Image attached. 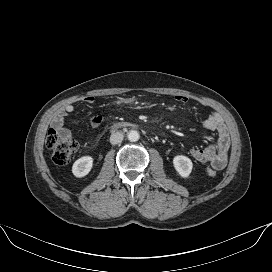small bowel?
<instances>
[{"mask_svg": "<svg viewBox=\"0 0 272 272\" xmlns=\"http://www.w3.org/2000/svg\"><path fill=\"white\" fill-rule=\"evenodd\" d=\"M175 100L179 103H185L188 98L185 95H176ZM87 104L95 102L94 96H87L84 98ZM74 106L72 104L65 105L53 118L52 127L60 134L70 136V131L65 127V119L69 113L73 112ZM93 126H99L102 123L100 116H93L90 119ZM205 129L215 132L217 134V141L215 144L208 145L203 148H194L190 151L192 157L200 162H209L215 170H222L227 164L228 150L230 147V134L222 117L218 113H210L202 122Z\"/></svg>", "mask_w": 272, "mask_h": 272, "instance_id": "obj_1", "label": "small bowel"}]
</instances>
